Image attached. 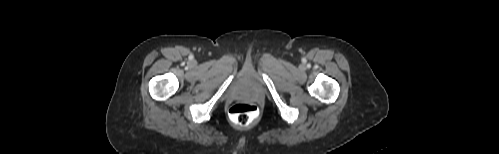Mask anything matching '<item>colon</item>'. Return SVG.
<instances>
[{
    "instance_id": "1",
    "label": "colon",
    "mask_w": 499,
    "mask_h": 154,
    "mask_svg": "<svg viewBox=\"0 0 499 154\" xmlns=\"http://www.w3.org/2000/svg\"><path fill=\"white\" fill-rule=\"evenodd\" d=\"M258 116V109L255 104L247 100H240L234 103L229 109L231 121L239 126H246L253 122Z\"/></svg>"
}]
</instances>
